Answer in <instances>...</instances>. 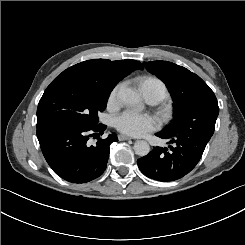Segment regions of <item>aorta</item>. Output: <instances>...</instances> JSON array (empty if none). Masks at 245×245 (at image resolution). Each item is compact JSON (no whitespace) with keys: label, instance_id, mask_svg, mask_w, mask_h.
I'll return each instance as SVG.
<instances>
[{"label":"aorta","instance_id":"aorta-1","mask_svg":"<svg viewBox=\"0 0 245 245\" xmlns=\"http://www.w3.org/2000/svg\"><path fill=\"white\" fill-rule=\"evenodd\" d=\"M120 101L128 106L141 107V98L139 94L130 87H121L118 91ZM134 151L139 156H146L150 152L149 144L144 140H138L134 144Z\"/></svg>","mask_w":245,"mask_h":245}]
</instances>
